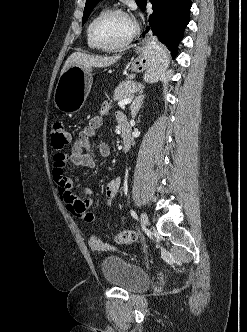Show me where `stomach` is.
Masks as SVG:
<instances>
[{
    "mask_svg": "<svg viewBox=\"0 0 247 332\" xmlns=\"http://www.w3.org/2000/svg\"><path fill=\"white\" fill-rule=\"evenodd\" d=\"M140 56L132 65L135 73L145 71V80L157 81L168 67L169 55L166 49L156 39L140 42ZM93 78L92 68L86 66H70L59 77L54 93L56 108L66 115H73L84 105L91 90Z\"/></svg>",
    "mask_w": 247,
    "mask_h": 332,
    "instance_id": "stomach-1",
    "label": "stomach"
}]
</instances>
